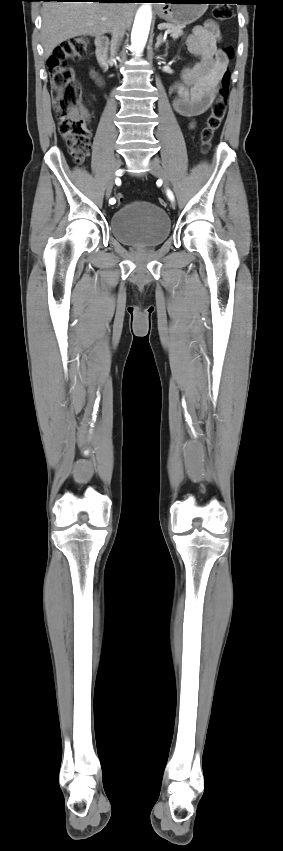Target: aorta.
<instances>
[{"label": "aorta", "instance_id": "1", "mask_svg": "<svg viewBox=\"0 0 283 851\" xmlns=\"http://www.w3.org/2000/svg\"><path fill=\"white\" fill-rule=\"evenodd\" d=\"M151 19L152 11L150 5H142L137 11L131 33V43L137 54H140L143 51L147 42Z\"/></svg>", "mask_w": 283, "mask_h": 851}]
</instances>
